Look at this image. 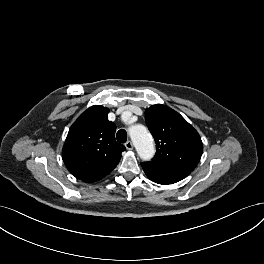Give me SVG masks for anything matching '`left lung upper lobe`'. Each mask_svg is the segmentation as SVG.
<instances>
[{
    "label": "left lung upper lobe",
    "instance_id": "left-lung-upper-lobe-1",
    "mask_svg": "<svg viewBox=\"0 0 264 264\" xmlns=\"http://www.w3.org/2000/svg\"><path fill=\"white\" fill-rule=\"evenodd\" d=\"M145 121L156 143L152 161L192 172L203 150L198 132L179 113L161 104L146 109Z\"/></svg>",
    "mask_w": 264,
    "mask_h": 264
}]
</instances>
